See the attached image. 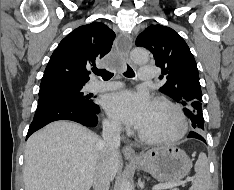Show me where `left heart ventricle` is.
<instances>
[{"label":"left heart ventricle","instance_id":"b2bd125f","mask_svg":"<svg viewBox=\"0 0 234 190\" xmlns=\"http://www.w3.org/2000/svg\"><path fill=\"white\" fill-rule=\"evenodd\" d=\"M177 127V119L168 108L153 104L151 112L140 131L148 135H161L174 132Z\"/></svg>","mask_w":234,"mask_h":190}]
</instances>
